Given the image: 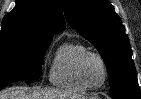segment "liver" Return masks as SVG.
<instances>
[{
  "instance_id": "1",
  "label": "liver",
  "mask_w": 141,
  "mask_h": 99,
  "mask_svg": "<svg viewBox=\"0 0 141 99\" xmlns=\"http://www.w3.org/2000/svg\"><path fill=\"white\" fill-rule=\"evenodd\" d=\"M81 99L80 95H71L61 90L42 88L29 90L26 87H15L0 92V99Z\"/></svg>"
}]
</instances>
